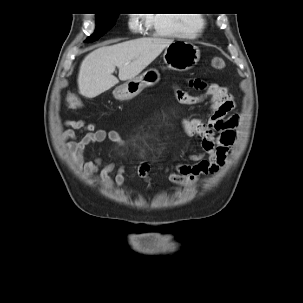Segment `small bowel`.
Masks as SVG:
<instances>
[{"mask_svg":"<svg viewBox=\"0 0 303 303\" xmlns=\"http://www.w3.org/2000/svg\"><path fill=\"white\" fill-rule=\"evenodd\" d=\"M190 85L202 89L199 95H191L180 87L174 89L177 101L186 106H194L208 102L206 117L185 118L181 121L182 131L199 142L198 152L192 154L195 165L181 164L173 170L166 169L165 173L171 183L177 186H187L195 182L202 174H214L224 164L235 141V119H225L234 108V102L228 89L217 83L206 85L201 80H191ZM61 140L66 142L67 149L75 165L88 177L106 188L121 186L125 182V167H116L115 163L103 164L101 158L86 160L85 152L92 145L103 144L107 141L123 147L125 139L114 130L97 128L93 122L85 120H67ZM78 133L84 134L79 139ZM207 155V158H203ZM112 176V173L115 172ZM137 175L150 181L149 164L143 162L137 167Z\"/></svg>","mask_w":303,"mask_h":303,"instance_id":"c3829d8e","label":"small bowel"}]
</instances>
